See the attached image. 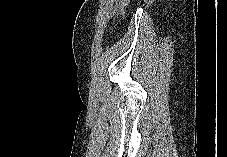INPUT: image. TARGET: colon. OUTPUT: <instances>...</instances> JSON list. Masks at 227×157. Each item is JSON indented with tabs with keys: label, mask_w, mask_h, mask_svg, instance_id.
Masks as SVG:
<instances>
[{
	"label": "colon",
	"mask_w": 227,
	"mask_h": 157,
	"mask_svg": "<svg viewBox=\"0 0 227 157\" xmlns=\"http://www.w3.org/2000/svg\"><path fill=\"white\" fill-rule=\"evenodd\" d=\"M127 3H128V0H119L118 1L117 7H118V13L119 14H121L124 11Z\"/></svg>",
	"instance_id": "5ec220e1"
}]
</instances>
